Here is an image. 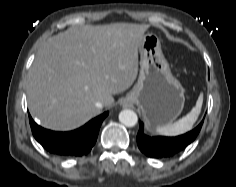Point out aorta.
<instances>
[{
	"mask_svg": "<svg viewBox=\"0 0 236 187\" xmlns=\"http://www.w3.org/2000/svg\"><path fill=\"white\" fill-rule=\"evenodd\" d=\"M119 121L127 127H133L137 124L138 117L133 110L124 109L119 113Z\"/></svg>",
	"mask_w": 236,
	"mask_h": 187,
	"instance_id": "1",
	"label": "aorta"
}]
</instances>
